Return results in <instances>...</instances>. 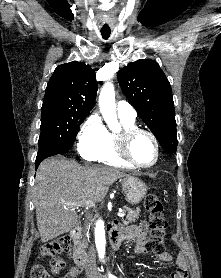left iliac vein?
Segmentation results:
<instances>
[{
    "instance_id": "left-iliac-vein-1",
    "label": "left iliac vein",
    "mask_w": 221,
    "mask_h": 278,
    "mask_svg": "<svg viewBox=\"0 0 221 278\" xmlns=\"http://www.w3.org/2000/svg\"><path fill=\"white\" fill-rule=\"evenodd\" d=\"M95 278H107V277H105L104 275H102L101 273H98L97 275H96V277Z\"/></svg>"
}]
</instances>
